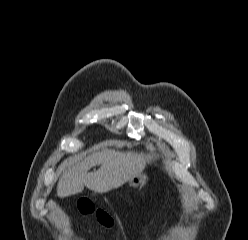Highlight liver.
<instances>
[{
	"label": "liver",
	"instance_id": "liver-1",
	"mask_svg": "<svg viewBox=\"0 0 248 240\" xmlns=\"http://www.w3.org/2000/svg\"><path fill=\"white\" fill-rule=\"evenodd\" d=\"M154 159L156 155L108 149L95 153L80 163L67 159L59 167L63 174L57 184V195L61 198L75 195L81 193L84 186L96 193H106L140 174L146 164ZM95 165H100V168L88 172Z\"/></svg>",
	"mask_w": 248,
	"mask_h": 240
}]
</instances>
